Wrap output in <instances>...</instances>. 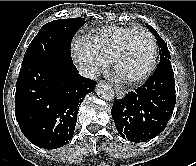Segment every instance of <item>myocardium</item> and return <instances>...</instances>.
I'll use <instances>...</instances> for the list:
<instances>
[{"instance_id": "f54148a6", "label": "myocardium", "mask_w": 196, "mask_h": 166, "mask_svg": "<svg viewBox=\"0 0 196 166\" xmlns=\"http://www.w3.org/2000/svg\"><path fill=\"white\" fill-rule=\"evenodd\" d=\"M137 32L145 33L151 41V46H152L151 61H150L149 65L147 66V68L141 74H139L133 78H130V79H124L118 75V67H119L121 60L123 59V57L125 56V54L128 50V45H129V42H130L132 36ZM157 59H158V46H157V42H156L154 35L146 28H142V27L134 28L129 34L126 35L118 52L116 53V55L113 59V71L121 81H123L127 84H137V83H140V82L146 80L152 74V72L154 71V69L156 67Z\"/></svg>"}]
</instances>
